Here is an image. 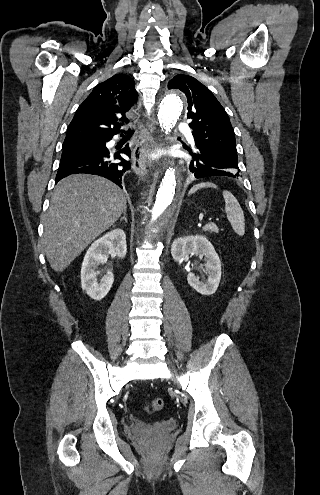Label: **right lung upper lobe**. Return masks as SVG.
I'll use <instances>...</instances> for the list:
<instances>
[{
	"instance_id": "right-lung-upper-lobe-1",
	"label": "right lung upper lobe",
	"mask_w": 320,
	"mask_h": 495,
	"mask_svg": "<svg viewBox=\"0 0 320 495\" xmlns=\"http://www.w3.org/2000/svg\"><path fill=\"white\" fill-rule=\"evenodd\" d=\"M137 97L135 82L129 75L115 74L98 84L77 109L64 141L103 139L124 132L119 122H128L125 113Z\"/></svg>"
}]
</instances>
